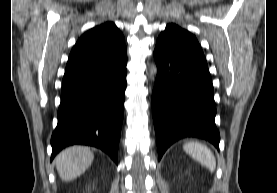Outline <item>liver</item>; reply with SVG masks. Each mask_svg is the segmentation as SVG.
<instances>
[{"label":"liver","mask_w":277,"mask_h":193,"mask_svg":"<svg viewBox=\"0 0 277 193\" xmlns=\"http://www.w3.org/2000/svg\"><path fill=\"white\" fill-rule=\"evenodd\" d=\"M94 154L88 147L72 146L60 152L55 158V165L60 178L72 181L89 168Z\"/></svg>","instance_id":"obj_1"}]
</instances>
